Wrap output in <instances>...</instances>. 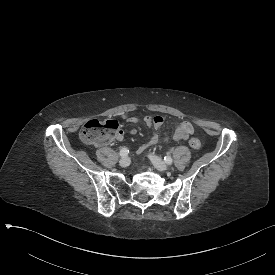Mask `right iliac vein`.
Here are the masks:
<instances>
[{
	"label": "right iliac vein",
	"instance_id": "1",
	"mask_svg": "<svg viewBox=\"0 0 275 275\" xmlns=\"http://www.w3.org/2000/svg\"><path fill=\"white\" fill-rule=\"evenodd\" d=\"M129 164H130V159L127 156L121 158L119 161V165L121 167H127V166H129Z\"/></svg>",
	"mask_w": 275,
	"mask_h": 275
}]
</instances>
